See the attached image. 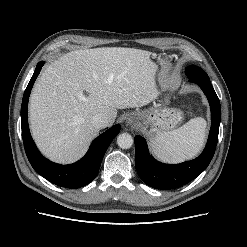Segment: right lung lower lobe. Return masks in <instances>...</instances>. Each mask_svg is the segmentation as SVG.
<instances>
[{
    "mask_svg": "<svg viewBox=\"0 0 247 247\" xmlns=\"http://www.w3.org/2000/svg\"><path fill=\"white\" fill-rule=\"evenodd\" d=\"M43 65V61L37 64L23 95L21 126L25 152L34 170L48 181L65 188L83 187L96 177L107 148L120 132V125L117 124L99 135L91 144L86 155L74 164L59 165L44 158L32 140L27 119L30 92Z\"/></svg>",
    "mask_w": 247,
    "mask_h": 247,
    "instance_id": "1",
    "label": "right lung lower lobe"
}]
</instances>
